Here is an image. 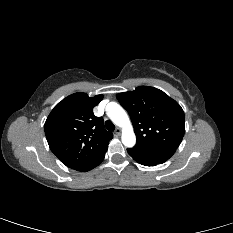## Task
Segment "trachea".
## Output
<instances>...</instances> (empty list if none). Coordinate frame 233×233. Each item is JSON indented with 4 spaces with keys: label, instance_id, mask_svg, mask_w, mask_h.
Segmentation results:
<instances>
[{
    "label": "trachea",
    "instance_id": "obj_1",
    "mask_svg": "<svg viewBox=\"0 0 233 233\" xmlns=\"http://www.w3.org/2000/svg\"><path fill=\"white\" fill-rule=\"evenodd\" d=\"M105 127L109 131H113L115 129V125L109 120L105 122Z\"/></svg>",
    "mask_w": 233,
    "mask_h": 233
}]
</instances>
